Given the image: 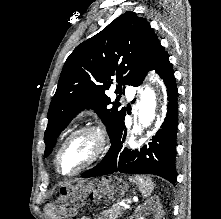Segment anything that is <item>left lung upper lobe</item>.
Returning <instances> with one entry per match:
<instances>
[{
  "instance_id": "1",
  "label": "left lung upper lobe",
  "mask_w": 221,
  "mask_h": 219,
  "mask_svg": "<svg viewBox=\"0 0 221 219\" xmlns=\"http://www.w3.org/2000/svg\"><path fill=\"white\" fill-rule=\"evenodd\" d=\"M159 46L150 24L134 12L120 15L78 45L64 64L49 107L45 157L52 152L60 132L87 107L95 109L111 138L126 114L119 98L112 102L105 93L113 84L112 76L119 82V94L124 93L121 84L139 86Z\"/></svg>"
}]
</instances>
